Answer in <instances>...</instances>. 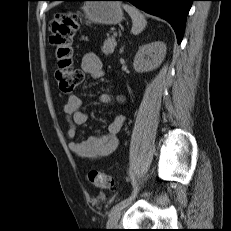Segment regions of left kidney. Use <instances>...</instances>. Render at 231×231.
<instances>
[{
	"instance_id": "1",
	"label": "left kidney",
	"mask_w": 231,
	"mask_h": 231,
	"mask_svg": "<svg viewBox=\"0 0 231 231\" xmlns=\"http://www.w3.org/2000/svg\"><path fill=\"white\" fill-rule=\"evenodd\" d=\"M166 54L164 42L155 41L139 47L134 58V69L136 72H148L161 65Z\"/></svg>"
}]
</instances>
